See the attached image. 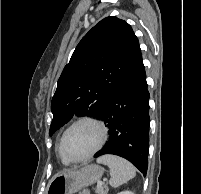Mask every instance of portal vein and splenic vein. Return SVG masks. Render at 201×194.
I'll list each match as a JSON object with an SVG mask.
<instances>
[{"label": "portal vein and splenic vein", "mask_w": 201, "mask_h": 194, "mask_svg": "<svg viewBox=\"0 0 201 194\" xmlns=\"http://www.w3.org/2000/svg\"><path fill=\"white\" fill-rule=\"evenodd\" d=\"M102 185H103V183H102V182H98V183H97V188L102 187Z\"/></svg>", "instance_id": "portal-vein-and-splenic-vein-1"}]
</instances>
